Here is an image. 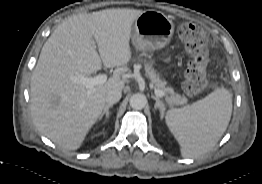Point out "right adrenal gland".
Returning a JSON list of instances; mask_svg holds the SVG:
<instances>
[{"mask_svg":"<svg viewBox=\"0 0 262 184\" xmlns=\"http://www.w3.org/2000/svg\"><path fill=\"white\" fill-rule=\"evenodd\" d=\"M113 106V104H106L105 105V107H104V110H103V112L101 113V115H100V117H99V121H101L102 120V118L104 117V115H105V117H106V121L108 120V118H109V108H111Z\"/></svg>","mask_w":262,"mask_h":184,"instance_id":"2a0ac1e0","label":"right adrenal gland"}]
</instances>
